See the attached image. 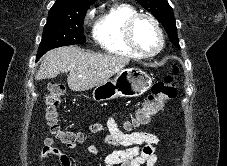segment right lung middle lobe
<instances>
[{"label":"right lung middle lobe","mask_w":227,"mask_h":166,"mask_svg":"<svg viewBox=\"0 0 227 166\" xmlns=\"http://www.w3.org/2000/svg\"><path fill=\"white\" fill-rule=\"evenodd\" d=\"M87 9L76 12H49L37 59L48 50L65 45L83 44V21Z\"/></svg>","instance_id":"right-lung-middle-lobe-1"}]
</instances>
